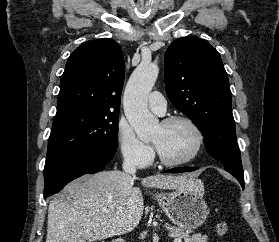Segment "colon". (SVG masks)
I'll use <instances>...</instances> for the list:
<instances>
[{
  "label": "colon",
  "instance_id": "1",
  "mask_svg": "<svg viewBox=\"0 0 279 242\" xmlns=\"http://www.w3.org/2000/svg\"><path fill=\"white\" fill-rule=\"evenodd\" d=\"M217 233L221 236H226L229 233V226L226 222H219L216 226Z\"/></svg>",
  "mask_w": 279,
  "mask_h": 242
}]
</instances>
